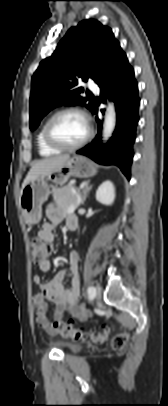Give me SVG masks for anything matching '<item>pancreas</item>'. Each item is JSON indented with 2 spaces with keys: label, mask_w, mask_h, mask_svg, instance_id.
Wrapping results in <instances>:
<instances>
[{
  "label": "pancreas",
  "mask_w": 168,
  "mask_h": 406,
  "mask_svg": "<svg viewBox=\"0 0 168 406\" xmlns=\"http://www.w3.org/2000/svg\"><path fill=\"white\" fill-rule=\"evenodd\" d=\"M78 198V190L74 187L73 184H68L67 186L54 189L53 190V199L59 209L64 211L72 205H76Z\"/></svg>",
  "instance_id": "pancreas-1"
}]
</instances>
